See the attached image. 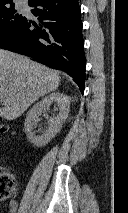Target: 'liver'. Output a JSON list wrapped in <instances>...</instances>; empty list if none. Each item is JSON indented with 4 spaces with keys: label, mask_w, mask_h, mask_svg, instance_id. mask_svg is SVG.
<instances>
[{
    "label": "liver",
    "mask_w": 128,
    "mask_h": 213,
    "mask_svg": "<svg viewBox=\"0 0 128 213\" xmlns=\"http://www.w3.org/2000/svg\"><path fill=\"white\" fill-rule=\"evenodd\" d=\"M58 73L28 57L0 49V117L18 118L39 97L56 90Z\"/></svg>",
    "instance_id": "liver-1"
}]
</instances>
